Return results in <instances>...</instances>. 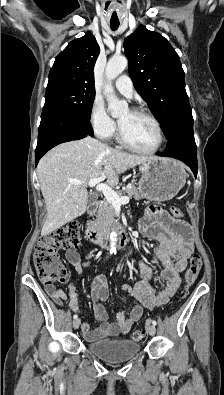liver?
I'll return each mask as SVG.
<instances>
[{"mask_svg": "<svg viewBox=\"0 0 224 395\" xmlns=\"http://www.w3.org/2000/svg\"><path fill=\"white\" fill-rule=\"evenodd\" d=\"M150 159L108 147L91 137L63 143L49 151L37 166L47 210L41 235L50 234L86 211V185L91 179L105 175L107 184L115 186L127 169ZM70 180L84 185H73Z\"/></svg>", "mask_w": 224, "mask_h": 395, "instance_id": "6515ba94", "label": "liver"}]
</instances>
